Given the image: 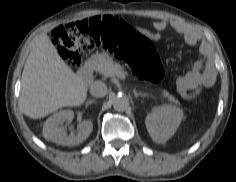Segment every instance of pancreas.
<instances>
[{
    "mask_svg": "<svg viewBox=\"0 0 236 182\" xmlns=\"http://www.w3.org/2000/svg\"><path fill=\"white\" fill-rule=\"evenodd\" d=\"M92 68L103 74L104 76H115V72H122L123 68L116 62L113 61V58L110 57L107 53H96L93 54L90 58ZM164 98H167L169 102L176 105L179 104V101L171 95L168 91L164 90L162 93Z\"/></svg>",
    "mask_w": 236,
    "mask_h": 182,
    "instance_id": "obj_1",
    "label": "pancreas"
}]
</instances>
